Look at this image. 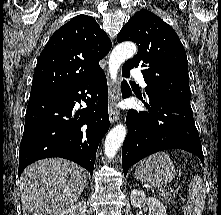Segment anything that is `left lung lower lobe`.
<instances>
[{
  "label": "left lung lower lobe",
  "mask_w": 221,
  "mask_h": 215,
  "mask_svg": "<svg viewBox=\"0 0 221 215\" xmlns=\"http://www.w3.org/2000/svg\"><path fill=\"white\" fill-rule=\"evenodd\" d=\"M124 77L130 71L122 68ZM124 98L132 95L123 82ZM149 102L139 100L149 112L129 110L128 134L122 148V167L126 176L131 165L150 154L166 149H183L198 156L204 164L199 134L190 103L161 95H149Z\"/></svg>",
  "instance_id": "obj_1"
}]
</instances>
